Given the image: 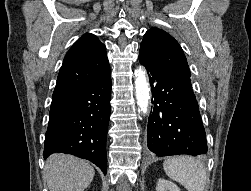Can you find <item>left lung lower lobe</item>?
Returning <instances> with one entry per match:
<instances>
[{"label": "left lung lower lobe", "mask_w": 251, "mask_h": 191, "mask_svg": "<svg viewBox=\"0 0 251 191\" xmlns=\"http://www.w3.org/2000/svg\"><path fill=\"white\" fill-rule=\"evenodd\" d=\"M152 89V113L148 120V148L157 156L207 153L199 106L191 80L161 68L139 54Z\"/></svg>", "instance_id": "obj_1"}]
</instances>
